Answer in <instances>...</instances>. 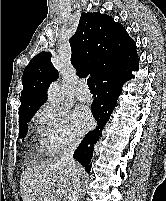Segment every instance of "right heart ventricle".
Returning <instances> with one entry per match:
<instances>
[{
    "instance_id": "e07e8e85",
    "label": "right heart ventricle",
    "mask_w": 166,
    "mask_h": 201,
    "mask_svg": "<svg viewBox=\"0 0 166 201\" xmlns=\"http://www.w3.org/2000/svg\"><path fill=\"white\" fill-rule=\"evenodd\" d=\"M40 147H41V150L42 151H46L44 148H43V146L40 144Z\"/></svg>"
}]
</instances>
